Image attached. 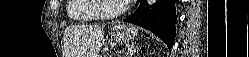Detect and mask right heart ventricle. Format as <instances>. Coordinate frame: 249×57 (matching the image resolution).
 <instances>
[{
	"label": "right heart ventricle",
	"mask_w": 249,
	"mask_h": 57,
	"mask_svg": "<svg viewBox=\"0 0 249 57\" xmlns=\"http://www.w3.org/2000/svg\"><path fill=\"white\" fill-rule=\"evenodd\" d=\"M67 16L74 21H93L99 16L91 9V0H68Z\"/></svg>",
	"instance_id": "1"
}]
</instances>
